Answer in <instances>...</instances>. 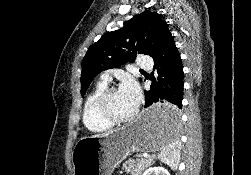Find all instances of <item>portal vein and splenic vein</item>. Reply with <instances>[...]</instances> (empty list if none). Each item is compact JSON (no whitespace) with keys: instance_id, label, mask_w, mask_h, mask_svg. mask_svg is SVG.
I'll return each instance as SVG.
<instances>
[{"instance_id":"portal-vein-and-splenic-vein-1","label":"portal vein and splenic vein","mask_w":251,"mask_h":175,"mask_svg":"<svg viewBox=\"0 0 251 175\" xmlns=\"http://www.w3.org/2000/svg\"><path fill=\"white\" fill-rule=\"evenodd\" d=\"M141 157H142V158H147V157H148V154H147V153H142V154H141Z\"/></svg>"}]
</instances>
